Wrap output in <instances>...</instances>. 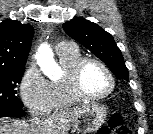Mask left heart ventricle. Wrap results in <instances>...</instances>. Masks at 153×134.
<instances>
[{
	"instance_id": "obj_1",
	"label": "left heart ventricle",
	"mask_w": 153,
	"mask_h": 134,
	"mask_svg": "<svg viewBox=\"0 0 153 134\" xmlns=\"http://www.w3.org/2000/svg\"><path fill=\"white\" fill-rule=\"evenodd\" d=\"M82 87L87 94L99 95L110 88V80L102 68L89 64L83 71Z\"/></svg>"
}]
</instances>
